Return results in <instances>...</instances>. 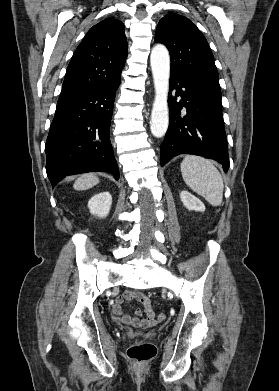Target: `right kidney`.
Segmentation results:
<instances>
[{
    "instance_id": "1",
    "label": "right kidney",
    "mask_w": 279,
    "mask_h": 391,
    "mask_svg": "<svg viewBox=\"0 0 279 391\" xmlns=\"http://www.w3.org/2000/svg\"><path fill=\"white\" fill-rule=\"evenodd\" d=\"M112 204V196L109 192H101L94 195L88 202L90 213L104 218L109 214Z\"/></svg>"
}]
</instances>
